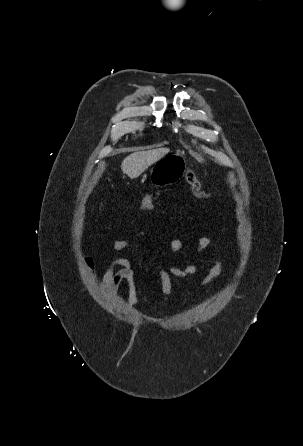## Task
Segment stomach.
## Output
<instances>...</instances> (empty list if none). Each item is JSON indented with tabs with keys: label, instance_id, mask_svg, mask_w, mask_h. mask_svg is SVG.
<instances>
[{
	"label": "stomach",
	"instance_id": "obj_1",
	"mask_svg": "<svg viewBox=\"0 0 303 446\" xmlns=\"http://www.w3.org/2000/svg\"><path fill=\"white\" fill-rule=\"evenodd\" d=\"M187 170L186 159L181 154H172L160 159L150 172V183L166 187L178 182Z\"/></svg>",
	"mask_w": 303,
	"mask_h": 446
}]
</instances>
